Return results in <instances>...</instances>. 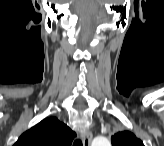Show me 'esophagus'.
Returning a JSON list of instances; mask_svg holds the SVG:
<instances>
[{
    "mask_svg": "<svg viewBox=\"0 0 164 146\" xmlns=\"http://www.w3.org/2000/svg\"><path fill=\"white\" fill-rule=\"evenodd\" d=\"M93 134L91 131H86L82 135L83 146H90L92 142Z\"/></svg>",
    "mask_w": 164,
    "mask_h": 146,
    "instance_id": "1",
    "label": "esophagus"
}]
</instances>
